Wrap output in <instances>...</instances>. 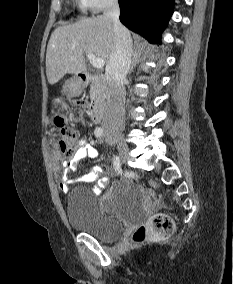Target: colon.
<instances>
[{
    "instance_id": "obj_1",
    "label": "colon",
    "mask_w": 233,
    "mask_h": 284,
    "mask_svg": "<svg viewBox=\"0 0 233 284\" xmlns=\"http://www.w3.org/2000/svg\"><path fill=\"white\" fill-rule=\"evenodd\" d=\"M78 106L85 107L89 104L86 98H79L74 101ZM55 125L61 132L60 148L66 155L73 154L76 150L77 132L68 125L66 118L62 115H57L54 118ZM126 177L134 175L127 171L121 172ZM173 220L166 214H156L146 223L139 226L132 235V243L138 244L148 238L165 239L169 237L173 231Z\"/></svg>"
}]
</instances>
